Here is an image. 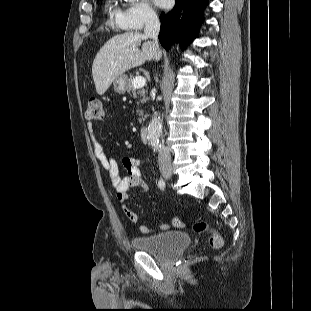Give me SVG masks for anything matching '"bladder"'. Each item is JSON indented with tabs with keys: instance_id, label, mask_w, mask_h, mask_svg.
Wrapping results in <instances>:
<instances>
[{
	"instance_id": "bladder-1",
	"label": "bladder",
	"mask_w": 311,
	"mask_h": 311,
	"mask_svg": "<svg viewBox=\"0 0 311 311\" xmlns=\"http://www.w3.org/2000/svg\"><path fill=\"white\" fill-rule=\"evenodd\" d=\"M189 243V236L182 231H166L132 238V245L136 250L152 253L163 261L172 258Z\"/></svg>"
}]
</instances>
